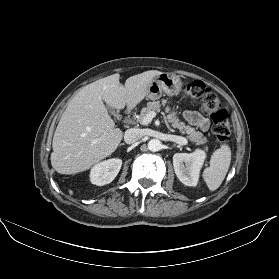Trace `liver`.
Segmentation results:
<instances>
[{
    "label": "liver",
    "mask_w": 279,
    "mask_h": 279,
    "mask_svg": "<svg viewBox=\"0 0 279 279\" xmlns=\"http://www.w3.org/2000/svg\"><path fill=\"white\" fill-rule=\"evenodd\" d=\"M162 72L150 70L129 77L125 87L118 73L85 86L68 104L54 133L52 167L60 174H76L111 155L123 132L108 115L111 108L129 110L148 94L152 81ZM104 101V102H103Z\"/></svg>",
    "instance_id": "6515ba94"
}]
</instances>
